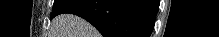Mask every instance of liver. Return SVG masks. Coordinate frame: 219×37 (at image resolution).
I'll return each mask as SVG.
<instances>
[{
  "mask_svg": "<svg viewBox=\"0 0 219 37\" xmlns=\"http://www.w3.org/2000/svg\"><path fill=\"white\" fill-rule=\"evenodd\" d=\"M53 37H97L98 33L84 19L72 15L62 14L52 22Z\"/></svg>",
  "mask_w": 219,
  "mask_h": 37,
  "instance_id": "1",
  "label": "liver"
}]
</instances>
